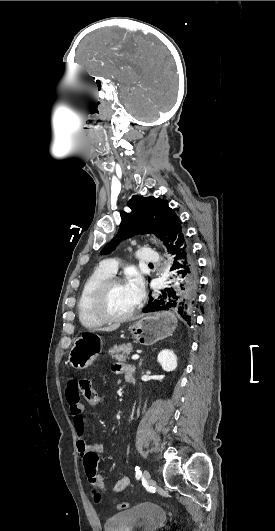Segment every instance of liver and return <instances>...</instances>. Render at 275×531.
Segmentation results:
<instances>
[{
    "mask_svg": "<svg viewBox=\"0 0 275 531\" xmlns=\"http://www.w3.org/2000/svg\"><path fill=\"white\" fill-rule=\"evenodd\" d=\"M120 323H115V325H110V327H103V329H96V331H116L119 329Z\"/></svg>",
    "mask_w": 275,
    "mask_h": 531,
    "instance_id": "obj_1",
    "label": "liver"
}]
</instances>
